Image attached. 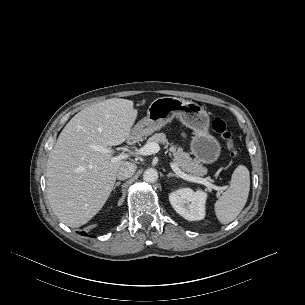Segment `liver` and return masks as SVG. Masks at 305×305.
Here are the masks:
<instances>
[{
  "label": "liver",
  "mask_w": 305,
  "mask_h": 305,
  "mask_svg": "<svg viewBox=\"0 0 305 305\" xmlns=\"http://www.w3.org/2000/svg\"><path fill=\"white\" fill-rule=\"evenodd\" d=\"M133 101L112 98L77 113L64 127L47 160V197L55 215L72 228L91 220L104 206L125 162L91 144L116 146L131 135L137 117Z\"/></svg>",
  "instance_id": "liver-1"
}]
</instances>
